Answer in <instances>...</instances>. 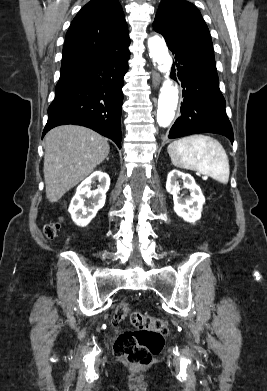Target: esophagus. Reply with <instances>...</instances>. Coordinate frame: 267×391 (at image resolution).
I'll list each match as a JSON object with an SVG mask.
<instances>
[{"mask_svg":"<svg viewBox=\"0 0 267 391\" xmlns=\"http://www.w3.org/2000/svg\"><path fill=\"white\" fill-rule=\"evenodd\" d=\"M160 80H161V78H160L159 73L156 71H153V75H152L153 86L157 87L160 84Z\"/></svg>","mask_w":267,"mask_h":391,"instance_id":"obj_1","label":"esophagus"}]
</instances>
